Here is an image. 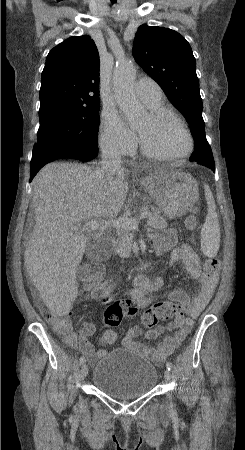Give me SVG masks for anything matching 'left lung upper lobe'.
Here are the masks:
<instances>
[{
    "instance_id": "1",
    "label": "left lung upper lobe",
    "mask_w": 245,
    "mask_h": 450,
    "mask_svg": "<svg viewBox=\"0 0 245 450\" xmlns=\"http://www.w3.org/2000/svg\"><path fill=\"white\" fill-rule=\"evenodd\" d=\"M132 53L136 62L161 86L187 119L195 145L190 160L199 163L207 161L209 158L206 155L195 156L200 147L207 148L209 144L202 118L196 60L189 43L174 30L144 24L138 28Z\"/></svg>"
}]
</instances>
